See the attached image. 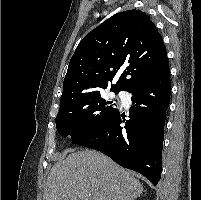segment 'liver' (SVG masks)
Instances as JSON below:
<instances>
[{
	"instance_id": "6515ba94",
	"label": "liver",
	"mask_w": 201,
	"mask_h": 200,
	"mask_svg": "<svg viewBox=\"0 0 201 200\" xmlns=\"http://www.w3.org/2000/svg\"><path fill=\"white\" fill-rule=\"evenodd\" d=\"M142 193L131 172L97 151L85 150L52 167L43 200H135Z\"/></svg>"
}]
</instances>
